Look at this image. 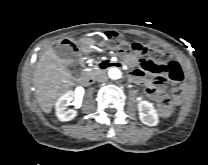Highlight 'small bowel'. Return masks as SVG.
<instances>
[{"instance_id": "obj_1", "label": "small bowel", "mask_w": 208, "mask_h": 165, "mask_svg": "<svg viewBox=\"0 0 208 165\" xmlns=\"http://www.w3.org/2000/svg\"><path fill=\"white\" fill-rule=\"evenodd\" d=\"M141 59L142 54L136 51L124 55L125 64L129 67H134ZM132 78L145 84L147 86L146 95L151 99H156L162 94L166 78L172 85L181 87L187 83L189 74L180 61L145 59L141 62L140 69L132 73Z\"/></svg>"}]
</instances>
